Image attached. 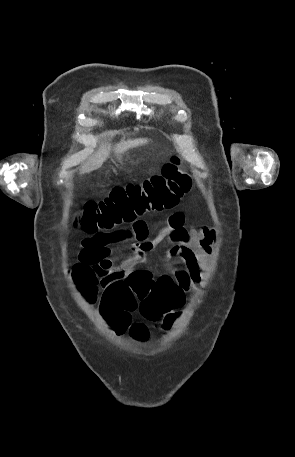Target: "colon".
Masks as SVG:
<instances>
[{
	"label": "colon",
	"instance_id": "obj_1",
	"mask_svg": "<svg viewBox=\"0 0 295 457\" xmlns=\"http://www.w3.org/2000/svg\"><path fill=\"white\" fill-rule=\"evenodd\" d=\"M177 156L165 163L159 174L139 184L115 187L99 201H88L75 223L87 233L112 230L132 225L139 217L171 209L190 189L191 179L179 167ZM72 276L84 295L93 300L98 279L104 282L101 313L118 333L131 328V334L145 340L147 328L140 323L131 326V313L138 307L144 318L171 325L179 306L178 291L169 277L154 280L151 274L134 270L125 274L112 267L111 262L91 264L78 261L72 267Z\"/></svg>",
	"mask_w": 295,
	"mask_h": 457
}]
</instances>
